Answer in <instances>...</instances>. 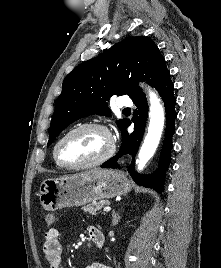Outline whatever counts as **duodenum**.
<instances>
[{
	"instance_id": "410a0bca",
	"label": "duodenum",
	"mask_w": 221,
	"mask_h": 268,
	"mask_svg": "<svg viewBox=\"0 0 221 268\" xmlns=\"http://www.w3.org/2000/svg\"><path fill=\"white\" fill-rule=\"evenodd\" d=\"M91 240L93 241V243L98 247L101 248L103 246L104 243V235L103 233L98 229L96 231H94L91 234Z\"/></svg>"
}]
</instances>
